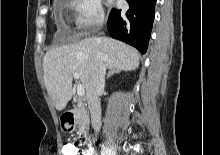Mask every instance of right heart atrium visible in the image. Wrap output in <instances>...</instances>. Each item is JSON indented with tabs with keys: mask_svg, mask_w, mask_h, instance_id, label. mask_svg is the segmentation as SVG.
Listing matches in <instances>:
<instances>
[{
	"mask_svg": "<svg viewBox=\"0 0 220 155\" xmlns=\"http://www.w3.org/2000/svg\"><path fill=\"white\" fill-rule=\"evenodd\" d=\"M72 7L76 28L82 32L92 31L104 22L101 0H73Z\"/></svg>",
	"mask_w": 220,
	"mask_h": 155,
	"instance_id": "obj_1",
	"label": "right heart atrium"
}]
</instances>
